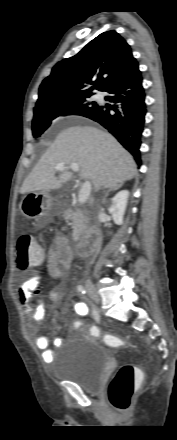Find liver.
Segmentation results:
<instances>
[{
	"label": "liver",
	"instance_id": "6515ba94",
	"mask_svg": "<svg viewBox=\"0 0 177 440\" xmlns=\"http://www.w3.org/2000/svg\"><path fill=\"white\" fill-rule=\"evenodd\" d=\"M65 168L55 177V166ZM77 163L80 178H89L95 191L110 188L137 174L131 154L109 133L91 126L69 127L54 143L25 179L21 194L59 189L72 178L70 165Z\"/></svg>",
	"mask_w": 177,
	"mask_h": 440
}]
</instances>
